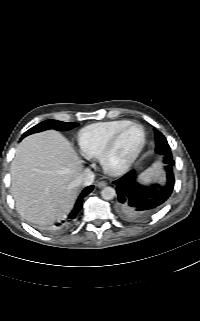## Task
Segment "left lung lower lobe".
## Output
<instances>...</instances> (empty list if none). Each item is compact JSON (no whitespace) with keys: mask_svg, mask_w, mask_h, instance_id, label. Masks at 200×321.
Instances as JSON below:
<instances>
[{"mask_svg":"<svg viewBox=\"0 0 200 321\" xmlns=\"http://www.w3.org/2000/svg\"><path fill=\"white\" fill-rule=\"evenodd\" d=\"M166 165L164 183L141 185L137 182L136 172L130 171L114 181L116 185L118 204L121 217L129 222H142L161 208L170 197L174 187L173 160L171 151L163 156Z\"/></svg>","mask_w":200,"mask_h":321,"instance_id":"1","label":"left lung lower lobe"}]
</instances>
